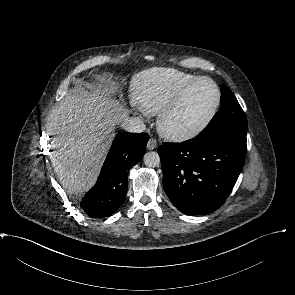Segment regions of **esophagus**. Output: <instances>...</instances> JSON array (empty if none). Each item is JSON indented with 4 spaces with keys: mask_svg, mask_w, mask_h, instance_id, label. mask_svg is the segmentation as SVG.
<instances>
[{
    "mask_svg": "<svg viewBox=\"0 0 295 295\" xmlns=\"http://www.w3.org/2000/svg\"><path fill=\"white\" fill-rule=\"evenodd\" d=\"M157 141L154 138H151L148 143H147V149L148 150H153L157 148Z\"/></svg>",
    "mask_w": 295,
    "mask_h": 295,
    "instance_id": "34e87169",
    "label": "esophagus"
}]
</instances>
